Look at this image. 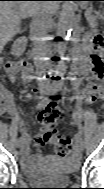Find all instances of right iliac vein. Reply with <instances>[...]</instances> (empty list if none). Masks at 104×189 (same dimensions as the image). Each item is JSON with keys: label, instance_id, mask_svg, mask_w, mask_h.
I'll return each instance as SVG.
<instances>
[{"label": "right iliac vein", "instance_id": "63e3f726", "mask_svg": "<svg viewBox=\"0 0 104 189\" xmlns=\"http://www.w3.org/2000/svg\"><path fill=\"white\" fill-rule=\"evenodd\" d=\"M16 147L17 148H21L22 147V141H20L19 139L16 141Z\"/></svg>", "mask_w": 104, "mask_h": 189}]
</instances>
